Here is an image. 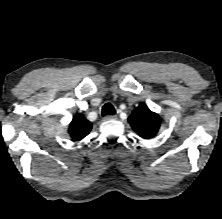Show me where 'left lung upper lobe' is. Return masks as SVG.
Here are the masks:
<instances>
[{"label":"left lung upper lobe","mask_w":222,"mask_h":219,"mask_svg":"<svg viewBox=\"0 0 222 219\" xmlns=\"http://www.w3.org/2000/svg\"><path fill=\"white\" fill-rule=\"evenodd\" d=\"M128 121L133 130L145 139L155 136L161 124L159 115L150 111L145 104H140L136 107L129 116Z\"/></svg>","instance_id":"1"}]
</instances>
